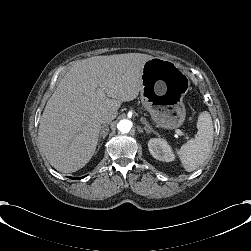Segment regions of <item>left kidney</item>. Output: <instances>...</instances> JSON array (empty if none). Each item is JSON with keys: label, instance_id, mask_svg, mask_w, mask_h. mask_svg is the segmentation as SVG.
I'll list each match as a JSON object with an SVG mask.
<instances>
[{"label": "left kidney", "instance_id": "left-kidney-1", "mask_svg": "<svg viewBox=\"0 0 251 251\" xmlns=\"http://www.w3.org/2000/svg\"><path fill=\"white\" fill-rule=\"evenodd\" d=\"M147 145L149 152L155 159L165 163L176 160V153L165 138H150Z\"/></svg>", "mask_w": 251, "mask_h": 251}]
</instances>
